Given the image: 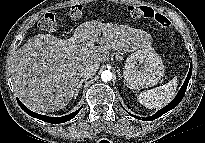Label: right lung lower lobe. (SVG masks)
Returning a JSON list of instances; mask_svg holds the SVG:
<instances>
[{"mask_svg":"<svg viewBox=\"0 0 205 143\" xmlns=\"http://www.w3.org/2000/svg\"><path fill=\"white\" fill-rule=\"evenodd\" d=\"M17 102L18 104L20 105V107L27 113L29 114L30 116L34 117V118H37V119H40L42 121H45V122H48V123H54V124H58V123H64V122H67L69 120H71L72 118H74L77 113L80 111V108L79 110L69 114V115H66V116H62V117H49V116H45V115H41V114H38V113H35V112H32L31 110L27 109L19 99H17Z\"/></svg>","mask_w":205,"mask_h":143,"instance_id":"right-lung-lower-lobe-1","label":"right lung lower lobe"}]
</instances>
